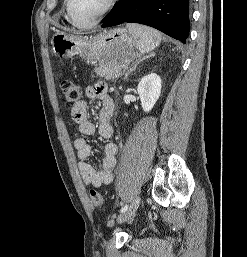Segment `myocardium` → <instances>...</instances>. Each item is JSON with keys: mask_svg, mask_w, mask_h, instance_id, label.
Listing matches in <instances>:
<instances>
[{"mask_svg": "<svg viewBox=\"0 0 247 257\" xmlns=\"http://www.w3.org/2000/svg\"><path fill=\"white\" fill-rule=\"evenodd\" d=\"M118 0H109L108 3L106 4L105 8L99 13V15L93 19L91 22L86 23V24H81L78 23L72 16L71 13V0H65V8H66V14L68 20L76 27L82 28V29H87L95 26L97 23H99L116 5Z\"/></svg>", "mask_w": 247, "mask_h": 257, "instance_id": "f54148a6", "label": "myocardium"}]
</instances>
